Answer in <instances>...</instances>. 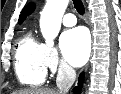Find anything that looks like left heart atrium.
<instances>
[{"mask_svg": "<svg viewBox=\"0 0 121 94\" xmlns=\"http://www.w3.org/2000/svg\"><path fill=\"white\" fill-rule=\"evenodd\" d=\"M60 46L64 59L75 67L85 64L90 53V39L82 27L65 31L60 38Z\"/></svg>", "mask_w": 121, "mask_h": 94, "instance_id": "left-heart-atrium-1", "label": "left heart atrium"}]
</instances>
